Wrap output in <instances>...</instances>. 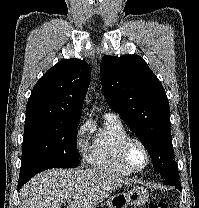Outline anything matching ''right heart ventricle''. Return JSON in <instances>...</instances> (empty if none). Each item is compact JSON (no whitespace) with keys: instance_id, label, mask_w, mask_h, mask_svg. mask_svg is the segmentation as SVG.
<instances>
[{"instance_id":"e07e8e85","label":"right heart ventricle","mask_w":199,"mask_h":208,"mask_svg":"<svg viewBox=\"0 0 199 208\" xmlns=\"http://www.w3.org/2000/svg\"><path fill=\"white\" fill-rule=\"evenodd\" d=\"M129 136L128 130L118 118L105 117L92 138L87 161L94 169L127 176L129 171L119 157L120 145Z\"/></svg>"}]
</instances>
